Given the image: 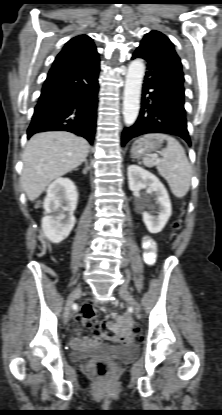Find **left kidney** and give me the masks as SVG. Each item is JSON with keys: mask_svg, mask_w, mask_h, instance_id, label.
<instances>
[{"mask_svg": "<svg viewBox=\"0 0 222 415\" xmlns=\"http://www.w3.org/2000/svg\"><path fill=\"white\" fill-rule=\"evenodd\" d=\"M128 171L129 188L133 192H139L147 188L153 192L159 205V213L152 216L148 212H143V221L150 233H159L166 225L172 213V207L168 192L161 181L149 171L138 165H130Z\"/></svg>", "mask_w": 222, "mask_h": 415, "instance_id": "1", "label": "left kidney"}]
</instances>
